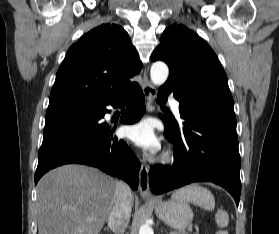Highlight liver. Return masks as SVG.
I'll return each instance as SVG.
<instances>
[{"label":"liver","instance_id":"6515ba94","mask_svg":"<svg viewBox=\"0 0 279 234\" xmlns=\"http://www.w3.org/2000/svg\"><path fill=\"white\" fill-rule=\"evenodd\" d=\"M116 183L83 165L48 172L37 185L38 234H99L109 219Z\"/></svg>","mask_w":279,"mask_h":234}]
</instances>
